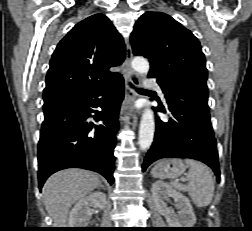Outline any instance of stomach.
<instances>
[{"mask_svg":"<svg viewBox=\"0 0 252 231\" xmlns=\"http://www.w3.org/2000/svg\"><path fill=\"white\" fill-rule=\"evenodd\" d=\"M186 166L180 159H165L158 162L152 169L151 174L159 179H175L185 172Z\"/></svg>","mask_w":252,"mask_h":231,"instance_id":"obj_1","label":"stomach"}]
</instances>
